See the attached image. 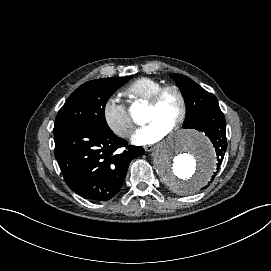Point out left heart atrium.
<instances>
[{"instance_id":"left-heart-atrium-1","label":"left heart atrium","mask_w":271,"mask_h":271,"mask_svg":"<svg viewBox=\"0 0 271 271\" xmlns=\"http://www.w3.org/2000/svg\"><path fill=\"white\" fill-rule=\"evenodd\" d=\"M171 132V128L159 123L151 122L146 126L138 128L131 136V141L135 145H152L164 139Z\"/></svg>"}]
</instances>
